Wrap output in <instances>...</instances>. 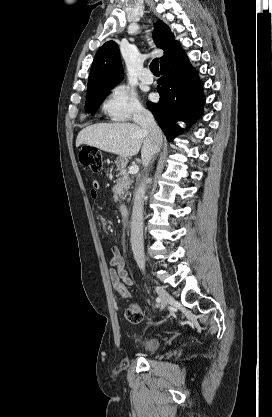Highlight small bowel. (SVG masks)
<instances>
[{
    "mask_svg": "<svg viewBox=\"0 0 272 417\" xmlns=\"http://www.w3.org/2000/svg\"><path fill=\"white\" fill-rule=\"evenodd\" d=\"M99 188H100L99 182L94 181L92 183V187L90 190V196L92 199L98 198ZM110 252H111L110 264L112 266V269L110 270V278H111L112 284H114L117 281H120L126 287L132 286L134 282H133V279L129 276V273L126 268V262L120 252L119 247L118 246L110 247Z\"/></svg>",
    "mask_w": 272,
    "mask_h": 417,
    "instance_id": "c3829d8e",
    "label": "small bowel"
}]
</instances>
